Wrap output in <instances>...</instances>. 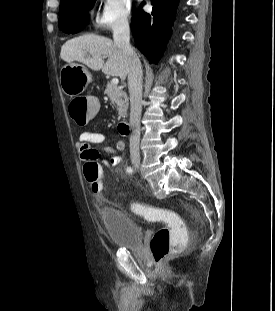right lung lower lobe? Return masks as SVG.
Masks as SVG:
<instances>
[{"label":"right lung lower lobe","mask_w":275,"mask_h":311,"mask_svg":"<svg viewBox=\"0 0 275 311\" xmlns=\"http://www.w3.org/2000/svg\"><path fill=\"white\" fill-rule=\"evenodd\" d=\"M151 4L153 9L150 14L137 10L131 20V29L137 48L150 63H157L171 34L178 0H153ZM80 30L82 27L74 33Z\"/></svg>","instance_id":"1"}]
</instances>
